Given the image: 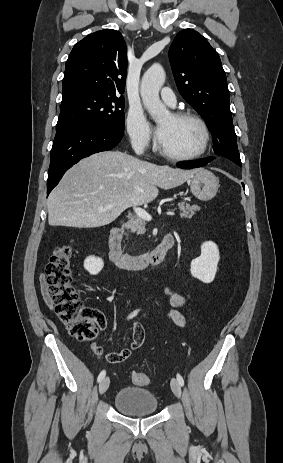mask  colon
Segmentation results:
<instances>
[{"instance_id": "colon-1", "label": "colon", "mask_w": 283, "mask_h": 463, "mask_svg": "<svg viewBox=\"0 0 283 463\" xmlns=\"http://www.w3.org/2000/svg\"><path fill=\"white\" fill-rule=\"evenodd\" d=\"M73 249L71 245L57 246L46 266L47 293L53 303L55 313L62 323L68 326L70 334L82 342L95 339L98 331L105 326L102 314L90 307H85L73 285L71 260ZM95 351L103 355L101 347ZM109 362L116 363L119 358L115 353L105 354ZM131 381L138 386L151 383L150 377L142 372L131 374Z\"/></svg>"}]
</instances>
